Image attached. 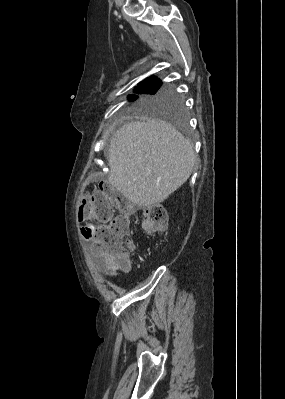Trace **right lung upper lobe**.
<instances>
[{
  "mask_svg": "<svg viewBox=\"0 0 285 399\" xmlns=\"http://www.w3.org/2000/svg\"><path fill=\"white\" fill-rule=\"evenodd\" d=\"M162 82L155 76H151L138 84L136 92H143L161 86Z\"/></svg>",
  "mask_w": 285,
  "mask_h": 399,
  "instance_id": "obj_1",
  "label": "right lung upper lobe"
}]
</instances>
